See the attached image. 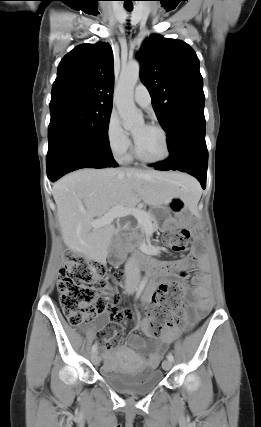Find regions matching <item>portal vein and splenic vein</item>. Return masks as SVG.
Returning <instances> with one entry per match:
<instances>
[{"label": "portal vein and splenic vein", "mask_w": 261, "mask_h": 427, "mask_svg": "<svg viewBox=\"0 0 261 427\" xmlns=\"http://www.w3.org/2000/svg\"><path fill=\"white\" fill-rule=\"evenodd\" d=\"M129 215L134 216L140 224L147 226L149 223L148 216H147V213L145 211L138 209V208H128V207H124V206H116V207L112 208L103 217L96 219V220H92L91 225L93 227H102V226L110 224L115 218H122V217L129 216Z\"/></svg>", "instance_id": "obj_1"}]
</instances>
